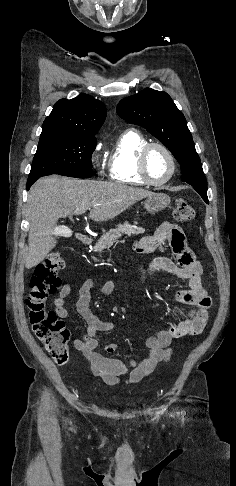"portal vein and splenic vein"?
Returning a JSON list of instances; mask_svg holds the SVG:
<instances>
[{"instance_id": "1", "label": "portal vein and splenic vein", "mask_w": 236, "mask_h": 486, "mask_svg": "<svg viewBox=\"0 0 236 486\" xmlns=\"http://www.w3.org/2000/svg\"><path fill=\"white\" fill-rule=\"evenodd\" d=\"M86 210H87V208L76 209L74 211V214L80 215V214L85 213Z\"/></svg>"}]
</instances>
